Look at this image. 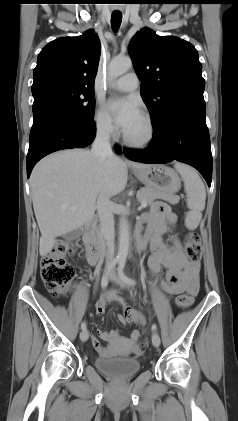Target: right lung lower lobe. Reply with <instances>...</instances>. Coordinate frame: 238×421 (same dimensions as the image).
<instances>
[{
    "instance_id": "right-lung-lower-lobe-1",
    "label": "right lung lower lobe",
    "mask_w": 238,
    "mask_h": 421,
    "mask_svg": "<svg viewBox=\"0 0 238 421\" xmlns=\"http://www.w3.org/2000/svg\"><path fill=\"white\" fill-rule=\"evenodd\" d=\"M33 126L27 154V177L44 156L62 149L89 145L96 134L93 121L83 120L54 102L33 105ZM120 152L119 147H116Z\"/></svg>"
}]
</instances>
